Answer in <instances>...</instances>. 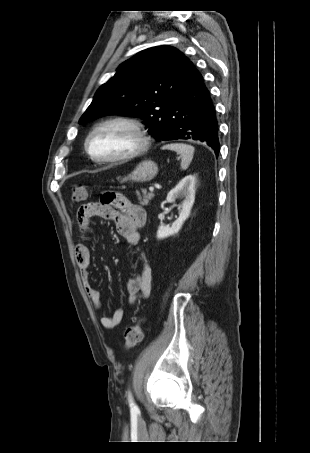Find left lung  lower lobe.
Masks as SVG:
<instances>
[{
	"label": "left lung lower lobe",
	"instance_id": "obj_1",
	"mask_svg": "<svg viewBox=\"0 0 310 453\" xmlns=\"http://www.w3.org/2000/svg\"><path fill=\"white\" fill-rule=\"evenodd\" d=\"M218 121L210 92L191 63L187 80L168 113L160 140L193 139L210 146L218 156Z\"/></svg>",
	"mask_w": 310,
	"mask_h": 453
}]
</instances>
